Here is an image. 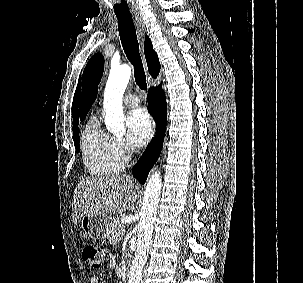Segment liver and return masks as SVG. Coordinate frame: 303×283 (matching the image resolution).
<instances>
[{"instance_id":"obj_1","label":"liver","mask_w":303,"mask_h":283,"mask_svg":"<svg viewBox=\"0 0 303 283\" xmlns=\"http://www.w3.org/2000/svg\"><path fill=\"white\" fill-rule=\"evenodd\" d=\"M137 189L129 175L81 180L74 190V223L77 225L83 216H108L132 210Z\"/></svg>"}]
</instances>
